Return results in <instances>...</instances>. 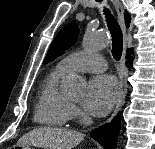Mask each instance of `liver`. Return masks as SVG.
<instances>
[{
	"label": "liver",
	"mask_w": 155,
	"mask_h": 149,
	"mask_svg": "<svg viewBox=\"0 0 155 149\" xmlns=\"http://www.w3.org/2000/svg\"><path fill=\"white\" fill-rule=\"evenodd\" d=\"M84 139V134L62 128L39 127L23 135L17 145L28 144L43 149H73Z\"/></svg>",
	"instance_id": "6515ba94"
}]
</instances>
